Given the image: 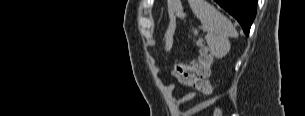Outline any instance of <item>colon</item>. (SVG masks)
I'll list each match as a JSON object with an SVG mask.
<instances>
[{
	"label": "colon",
	"instance_id": "obj_1",
	"mask_svg": "<svg viewBox=\"0 0 305 116\" xmlns=\"http://www.w3.org/2000/svg\"><path fill=\"white\" fill-rule=\"evenodd\" d=\"M168 7L178 18L185 19L187 17V13L179 0H168ZM198 44V57L189 64H176L173 73L180 83L199 90L205 96H210L213 93V87L209 82V75L214 58L201 40ZM221 115V110L216 107L213 116Z\"/></svg>",
	"mask_w": 305,
	"mask_h": 116
}]
</instances>
